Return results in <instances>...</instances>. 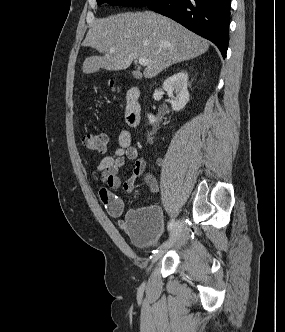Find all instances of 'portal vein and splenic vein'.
<instances>
[{
	"mask_svg": "<svg viewBox=\"0 0 285 332\" xmlns=\"http://www.w3.org/2000/svg\"><path fill=\"white\" fill-rule=\"evenodd\" d=\"M110 52L114 53L115 49L114 48H110ZM139 64L142 66H147L149 64V61L146 58H140L139 59Z\"/></svg>",
	"mask_w": 285,
	"mask_h": 332,
	"instance_id": "portal-vein-and-splenic-vein-1",
	"label": "portal vein and splenic vein"
}]
</instances>
